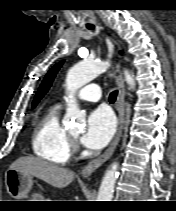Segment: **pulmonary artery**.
Instances as JSON below:
<instances>
[{
    "instance_id": "1",
    "label": "pulmonary artery",
    "mask_w": 176,
    "mask_h": 211,
    "mask_svg": "<svg viewBox=\"0 0 176 211\" xmlns=\"http://www.w3.org/2000/svg\"><path fill=\"white\" fill-rule=\"evenodd\" d=\"M78 99L89 102H97L101 98L100 87L97 84L84 86L78 93Z\"/></svg>"
}]
</instances>
